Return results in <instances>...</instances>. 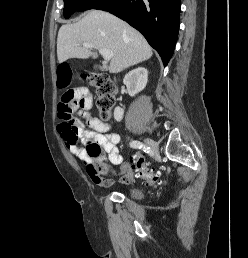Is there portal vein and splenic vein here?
<instances>
[{"mask_svg": "<svg viewBox=\"0 0 248 258\" xmlns=\"http://www.w3.org/2000/svg\"><path fill=\"white\" fill-rule=\"evenodd\" d=\"M82 46L85 47V48H95L90 43H82ZM98 50H99V53L103 56V58L106 61H109L113 56V54L109 50H106V49H98Z\"/></svg>", "mask_w": 248, "mask_h": 258, "instance_id": "1", "label": "portal vein and splenic vein"}]
</instances>
